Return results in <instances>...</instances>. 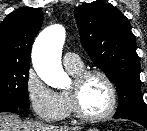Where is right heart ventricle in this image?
Here are the masks:
<instances>
[{"label":"right heart ventricle","mask_w":147,"mask_h":131,"mask_svg":"<svg viewBox=\"0 0 147 131\" xmlns=\"http://www.w3.org/2000/svg\"><path fill=\"white\" fill-rule=\"evenodd\" d=\"M83 70V67H81L80 69H68V71L73 75H77L78 73H80ZM61 98L63 99V102L65 104V114L64 117H68L73 113L72 110V105H71V101H70V97L68 95L67 91H62L59 93Z\"/></svg>","instance_id":"right-heart-ventricle-1"}]
</instances>
